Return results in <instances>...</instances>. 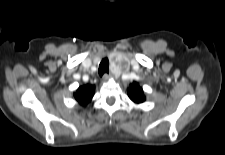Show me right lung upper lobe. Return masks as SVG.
Masks as SVG:
<instances>
[{"label": "right lung upper lobe", "mask_w": 225, "mask_h": 155, "mask_svg": "<svg viewBox=\"0 0 225 155\" xmlns=\"http://www.w3.org/2000/svg\"><path fill=\"white\" fill-rule=\"evenodd\" d=\"M93 95L94 86L86 84L77 89L74 97L80 105H87L91 101Z\"/></svg>", "instance_id": "cb5924a9"}]
</instances>
